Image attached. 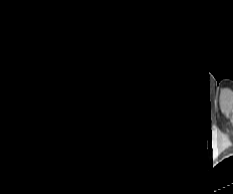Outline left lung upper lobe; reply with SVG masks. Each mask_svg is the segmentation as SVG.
Wrapping results in <instances>:
<instances>
[{
  "label": "left lung upper lobe",
  "mask_w": 233,
  "mask_h": 194,
  "mask_svg": "<svg viewBox=\"0 0 233 194\" xmlns=\"http://www.w3.org/2000/svg\"><path fill=\"white\" fill-rule=\"evenodd\" d=\"M139 99L149 134L148 151L183 156L197 127L194 93L169 80H150L139 90Z\"/></svg>",
  "instance_id": "1"
}]
</instances>
